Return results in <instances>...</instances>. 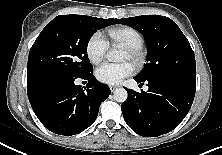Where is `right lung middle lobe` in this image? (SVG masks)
<instances>
[{"label":"right lung middle lobe","instance_id":"obj_1","mask_svg":"<svg viewBox=\"0 0 222 155\" xmlns=\"http://www.w3.org/2000/svg\"><path fill=\"white\" fill-rule=\"evenodd\" d=\"M117 19L60 15L49 22L30 49L27 91L44 89L93 70L87 56L91 36Z\"/></svg>","mask_w":222,"mask_h":155}]
</instances>
